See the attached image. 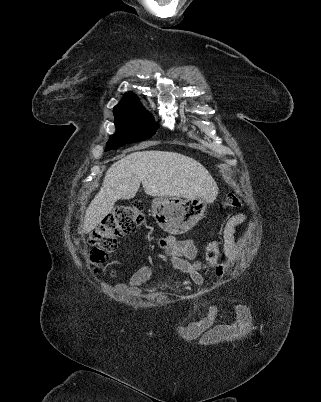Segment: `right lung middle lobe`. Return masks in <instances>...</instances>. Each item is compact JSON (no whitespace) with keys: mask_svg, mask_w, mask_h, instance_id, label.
Wrapping results in <instances>:
<instances>
[{"mask_svg":"<svg viewBox=\"0 0 321 402\" xmlns=\"http://www.w3.org/2000/svg\"><path fill=\"white\" fill-rule=\"evenodd\" d=\"M113 112L117 135L110 136L106 150L142 141L151 137L156 131L153 117L144 108L117 105Z\"/></svg>","mask_w":321,"mask_h":402,"instance_id":"dd1d6c3e","label":"right lung middle lobe"}]
</instances>
